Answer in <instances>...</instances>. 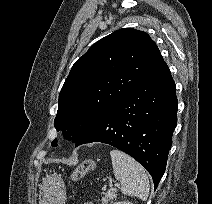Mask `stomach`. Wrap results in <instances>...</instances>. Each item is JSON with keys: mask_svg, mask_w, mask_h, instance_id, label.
I'll list each match as a JSON object with an SVG mask.
<instances>
[{"mask_svg": "<svg viewBox=\"0 0 212 204\" xmlns=\"http://www.w3.org/2000/svg\"><path fill=\"white\" fill-rule=\"evenodd\" d=\"M66 189L60 175L47 176L40 187V204H65Z\"/></svg>", "mask_w": 212, "mask_h": 204, "instance_id": "stomach-1", "label": "stomach"}]
</instances>
